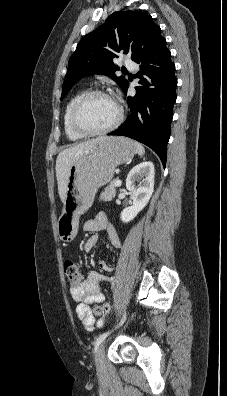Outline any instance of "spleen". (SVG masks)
<instances>
[{
	"mask_svg": "<svg viewBox=\"0 0 227 396\" xmlns=\"http://www.w3.org/2000/svg\"><path fill=\"white\" fill-rule=\"evenodd\" d=\"M135 147H136V153L140 156L144 155L145 153V149L142 146V144L138 143V142H134Z\"/></svg>",
	"mask_w": 227,
	"mask_h": 396,
	"instance_id": "obj_1",
	"label": "spleen"
}]
</instances>
